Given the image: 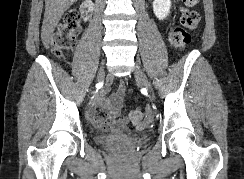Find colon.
<instances>
[{
    "label": "colon",
    "instance_id": "obj_1",
    "mask_svg": "<svg viewBox=\"0 0 244 179\" xmlns=\"http://www.w3.org/2000/svg\"><path fill=\"white\" fill-rule=\"evenodd\" d=\"M198 0H183L184 5L181 8L180 22L170 31L169 37L171 44L178 50H183L190 41L191 33L196 29L200 16L193 9ZM77 33V21L67 19L65 23L60 24L51 39V47L55 53L63 54L73 48ZM146 106L145 102L141 103ZM116 116H123V111H116ZM143 108H132L129 112L132 121L138 128L143 126Z\"/></svg>",
    "mask_w": 244,
    "mask_h": 179
}]
</instances>
